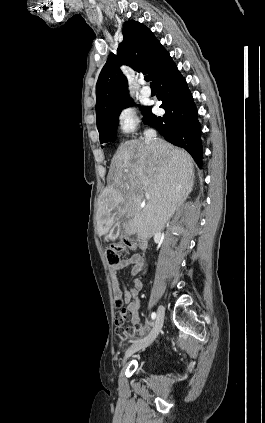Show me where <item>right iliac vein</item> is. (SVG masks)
I'll list each match as a JSON object with an SVG mask.
<instances>
[{"label":"right iliac vein","instance_id":"right-iliac-vein-1","mask_svg":"<svg viewBox=\"0 0 265 423\" xmlns=\"http://www.w3.org/2000/svg\"><path fill=\"white\" fill-rule=\"evenodd\" d=\"M165 310L163 306H159L157 311V318L151 333L144 339L134 342L125 352L123 362H125L135 352L148 347L153 343L160 333L164 322Z\"/></svg>","mask_w":265,"mask_h":423}]
</instances>
